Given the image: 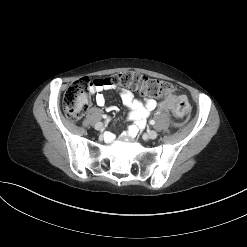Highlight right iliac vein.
Here are the masks:
<instances>
[{
	"label": "right iliac vein",
	"mask_w": 247,
	"mask_h": 247,
	"mask_svg": "<svg viewBox=\"0 0 247 247\" xmlns=\"http://www.w3.org/2000/svg\"><path fill=\"white\" fill-rule=\"evenodd\" d=\"M95 129L98 130V131L104 130V125H103V123H101V122L96 123V124H95Z\"/></svg>",
	"instance_id": "right-iliac-vein-1"
}]
</instances>
